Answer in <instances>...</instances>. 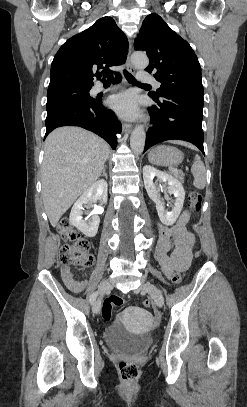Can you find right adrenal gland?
<instances>
[{
	"mask_svg": "<svg viewBox=\"0 0 247 407\" xmlns=\"http://www.w3.org/2000/svg\"><path fill=\"white\" fill-rule=\"evenodd\" d=\"M101 176H104L106 179H108L106 168L103 169V174Z\"/></svg>",
	"mask_w": 247,
	"mask_h": 407,
	"instance_id": "2a0ac1e0",
	"label": "right adrenal gland"
}]
</instances>
